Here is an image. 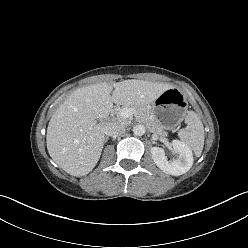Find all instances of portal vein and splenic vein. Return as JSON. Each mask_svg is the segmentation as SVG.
<instances>
[{"label":"portal vein and splenic vein","mask_w":248,"mask_h":248,"mask_svg":"<svg viewBox=\"0 0 248 248\" xmlns=\"http://www.w3.org/2000/svg\"><path fill=\"white\" fill-rule=\"evenodd\" d=\"M135 113V110L133 108H124L122 112L120 113L121 117L124 119L129 118Z\"/></svg>","instance_id":"18ae733b"}]
</instances>
